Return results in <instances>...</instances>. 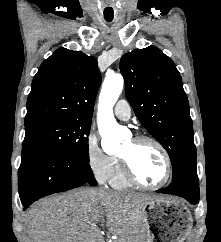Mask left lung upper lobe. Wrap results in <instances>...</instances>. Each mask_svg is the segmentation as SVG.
<instances>
[{"mask_svg":"<svg viewBox=\"0 0 221 242\" xmlns=\"http://www.w3.org/2000/svg\"><path fill=\"white\" fill-rule=\"evenodd\" d=\"M120 71L135 115L169 154L172 180L196 168L188 98L174 62L157 47L149 46L124 54Z\"/></svg>","mask_w":221,"mask_h":242,"instance_id":"left-lung-upper-lobe-1","label":"left lung upper lobe"}]
</instances>
